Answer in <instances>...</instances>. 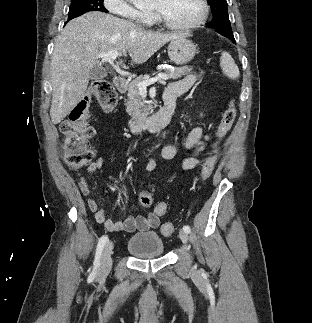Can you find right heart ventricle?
I'll return each mask as SVG.
<instances>
[{
	"label": "right heart ventricle",
	"mask_w": 312,
	"mask_h": 323,
	"mask_svg": "<svg viewBox=\"0 0 312 323\" xmlns=\"http://www.w3.org/2000/svg\"><path fill=\"white\" fill-rule=\"evenodd\" d=\"M146 18H147L148 20H152V19L154 18V15H153L152 13H148V14L146 15Z\"/></svg>",
	"instance_id": "obj_1"
}]
</instances>
